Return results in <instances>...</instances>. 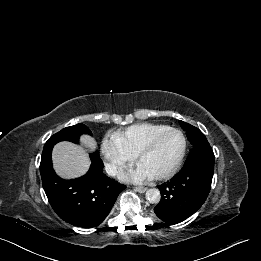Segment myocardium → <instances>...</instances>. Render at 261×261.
Listing matches in <instances>:
<instances>
[{
    "mask_svg": "<svg viewBox=\"0 0 261 261\" xmlns=\"http://www.w3.org/2000/svg\"><path fill=\"white\" fill-rule=\"evenodd\" d=\"M168 132L177 133L181 137V141H182L181 150L179 152V155H178L175 163L169 170H167L166 172H164L162 174L154 176V178L157 180H165V179L172 177L181 167L184 157H185L186 149H187V141H186V137L183 134V132L174 127H167L165 129L161 130L160 132L156 133L136 155L137 161H138V163H140V161L153 150V148L155 147L158 140L164 134H166Z\"/></svg>",
    "mask_w": 261,
    "mask_h": 261,
    "instance_id": "obj_1",
    "label": "myocardium"
}]
</instances>
